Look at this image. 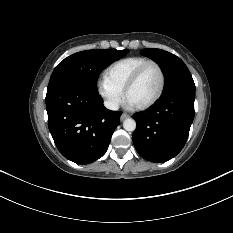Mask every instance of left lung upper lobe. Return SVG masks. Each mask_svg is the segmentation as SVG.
Wrapping results in <instances>:
<instances>
[{"mask_svg":"<svg viewBox=\"0 0 233 233\" xmlns=\"http://www.w3.org/2000/svg\"><path fill=\"white\" fill-rule=\"evenodd\" d=\"M141 54L156 61L165 75V87L163 94L178 89L195 90L193 78L184 64L176 55L161 49H144Z\"/></svg>","mask_w":233,"mask_h":233,"instance_id":"left-lung-upper-lobe-1","label":"left lung upper lobe"}]
</instances>
